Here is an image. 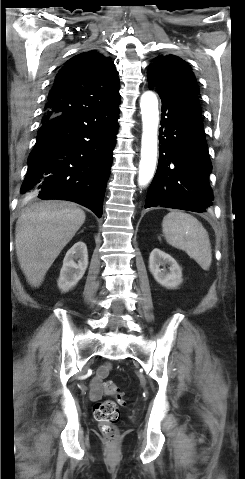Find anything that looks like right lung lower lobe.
I'll use <instances>...</instances> for the list:
<instances>
[{"label": "right lung lower lobe", "mask_w": 245, "mask_h": 479, "mask_svg": "<svg viewBox=\"0 0 245 479\" xmlns=\"http://www.w3.org/2000/svg\"><path fill=\"white\" fill-rule=\"evenodd\" d=\"M118 114V106L96 107L43 122L29 155L21 193L73 201L100 218Z\"/></svg>", "instance_id": "1"}]
</instances>
